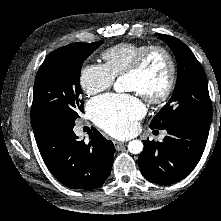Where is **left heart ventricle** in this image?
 I'll list each match as a JSON object with an SVG mask.
<instances>
[{
	"mask_svg": "<svg viewBox=\"0 0 221 221\" xmlns=\"http://www.w3.org/2000/svg\"><path fill=\"white\" fill-rule=\"evenodd\" d=\"M167 71L165 58L160 53H155L141 73L125 76L126 88L142 95H157L164 86Z\"/></svg>",
	"mask_w": 221,
	"mask_h": 221,
	"instance_id": "1",
	"label": "left heart ventricle"
}]
</instances>
